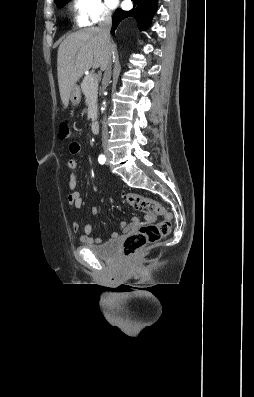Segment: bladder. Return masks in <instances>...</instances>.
Returning a JSON list of instances; mask_svg holds the SVG:
<instances>
[{
    "mask_svg": "<svg viewBox=\"0 0 254 397\" xmlns=\"http://www.w3.org/2000/svg\"><path fill=\"white\" fill-rule=\"evenodd\" d=\"M87 248L101 259L114 260L119 254V241L112 240L101 245H90Z\"/></svg>",
    "mask_w": 254,
    "mask_h": 397,
    "instance_id": "1",
    "label": "bladder"
}]
</instances>
